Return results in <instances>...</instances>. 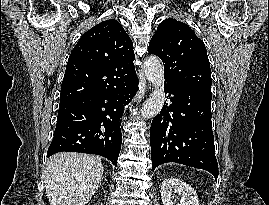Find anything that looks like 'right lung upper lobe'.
Masks as SVG:
<instances>
[{"mask_svg":"<svg viewBox=\"0 0 269 205\" xmlns=\"http://www.w3.org/2000/svg\"><path fill=\"white\" fill-rule=\"evenodd\" d=\"M133 43L116 20L84 33L72 50L61 84L60 102L108 91L135 70Z\"/></svg>","mask_w":269,"mask_h":205,"instance_id":"cb5924a9","label":"right lung upper lobe"}]
</instances>
